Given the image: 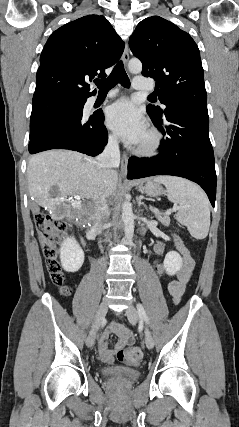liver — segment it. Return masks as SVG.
Masks as SVG:
<instances>
[{"instance_id":"liver-1","label":"liver","mask_w":239,"mask_h":427,"mask_svg":"<svg viewBox=\"0 0 239 427\" xmlns=\"http://www.w3.org/2000/svg\"><path fill=\"white\" fill-rule=\"evenodd\" d=\"M28 190L34 201L50 211L53 219L70 214L66 204L68 196L90 199L88 211L79 208L95 220L102 201L112 196L117 187L118 174L104 172L97 159L68 150H49L32 156L27 166ZM57 187L56 193L51 189ZM78 206V205H73Z\"/></svg>"}]
</instances>
